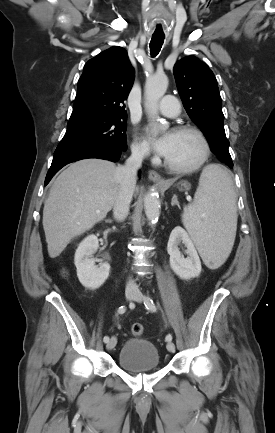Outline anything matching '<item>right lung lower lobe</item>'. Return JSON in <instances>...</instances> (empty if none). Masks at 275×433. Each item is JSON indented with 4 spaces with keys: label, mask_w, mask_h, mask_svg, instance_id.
Returning <instances> with one entry per match:
<instances>
[{
    "label": "right lung lower lobe",
    "mask_w": 275,
    "mask_h": 433,
    "mask_svg": "<svg viewBox=\"0 0 275 433\" xmlns=\"http://www.w3.org/2000/svg\"><path fill=\"white\" fill-rule=\"evenodd\" d=\"M126 149L116 146H102L55 151L51 167L45 179V185H47L52 177L68 163L86 158H100L116 162L119 160L121 153Z\"/></svg>",
    "instance_id": "1"
}]
</instances>
